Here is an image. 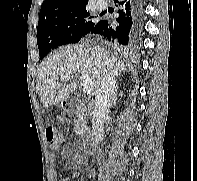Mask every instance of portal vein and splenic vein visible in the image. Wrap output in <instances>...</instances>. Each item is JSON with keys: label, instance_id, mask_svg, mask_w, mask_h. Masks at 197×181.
<instances>
[{"label": "portal vein and splenic vein", "instance_id": "1", "mask_svg": "<svg viewBox=\"0 0 197 181\" xmlns=\"http://www.w3.org/2000/svg\"><path fill=\"white\" fill-rule=\"evenodd\" d=\"M79 78L83 82V92L85 94H90L91 91H92V85H93L92 79L87 74H81ZM61 80L62 81H69L70 80V76H68V75H61Z\"/></svg>", "mask_w": 197, "mask_h": 181}]
</instances>
